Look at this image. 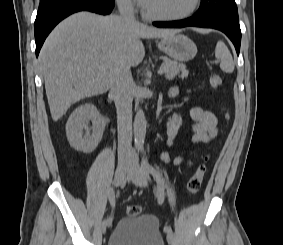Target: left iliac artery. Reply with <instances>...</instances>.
<instances>
[{"label":"left iliac artery","mask_w":283,"mask_h":245,"mask_svg":"<svg viewBox=\"0 0 283 245\" xmlns=\"http://www.w3.org/2000/svg\"><path fill=\"white\" fill-rule=\"evenodd\" d=\"M142 167L146 171V173L151 174L153 178L156 180L157 189H158V202L159 204H161L164 201V183L162 176L144 157L142 158ZM164 231L166 233H170L172 232V228L170 226H165Z\"/></svg>","instance_id":"left-iliac-artery-1"}]
</instances>
